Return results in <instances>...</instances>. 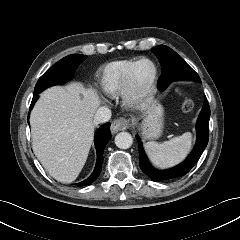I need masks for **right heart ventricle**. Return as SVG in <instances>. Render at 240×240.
I'll return each mask as SVG.
<instances>
[{"mask_svg": "<svg viewBox=\"0 0 240 240\" xmlns=\"http://www.w3.org/2000/svg\"><path fill=\"white\" fill-rule=\"evenodd\" d=\"M136 59H122L107 64L100 74V86L110 96H118L123 93L124 79Z\"/></svg>", "mask_w": 240, "mask_h": 240, "instance_id": "1", "label": "right heart ventricle"}]
</instances>
